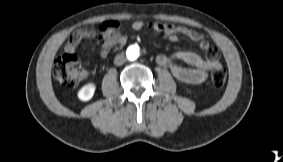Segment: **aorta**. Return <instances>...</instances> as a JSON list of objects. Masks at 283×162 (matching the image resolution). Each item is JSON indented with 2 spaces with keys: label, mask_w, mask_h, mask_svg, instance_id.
Returning <instances> with one entry per match:
<instances>
[{
  "label": "aorta",
  "mask_w": 283,
  "mask_h": 162,
  "mask_svg": "<svg viewBox=\"0 0 283 162\" xmlns=\"http://www.w3.org/2000/svg\"><path fill=\"white\" fill-rule=\"evenodd\" d=\"M127 56L130 60H135L139 57V47L138 46H130L127 49Z\"/></svg>",
  "instance_id": "aorta-1"
}]
</instances>
